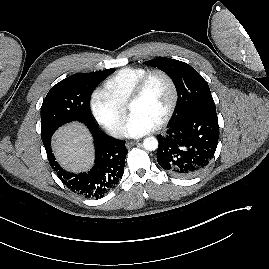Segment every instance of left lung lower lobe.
<instances>
[{
	"label": "left lung lower lobe",
	"mask_w": 269,
	"mask_h": 269,
	"mask_svg": "<svg viewBox=\"0 0 269 269\" xmlns=\"http://www.w3.org/2000/svg\"><path fill=\"white\" fill-rule=\"evenodd\" d=\"M219 137L216 110L189 113L159 135L157 161L169 174L190 178L200 173L214 156Z\"/></svg>",
	"instance_id": "left-lung-lower-lobe-1"
}]
</instances>
